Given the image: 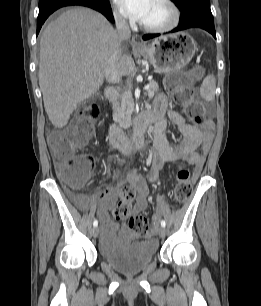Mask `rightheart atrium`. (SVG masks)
Segmentation results:
<instances>
[{
  "label": "right heart atrium",
  "mask_w": 261,
  "mask_h": 306,
  "mask_svg": "<svg viewBox=\"0 0 261 306\" xmlns=\"http://www.w3.org/2000/svg\"><path fill=\"white\" fill-rule=\"evenodd\" d=\"M115 18L120 25H125L126 24V21H125L124 17L120 13L115 12Z\"/></svg>",
  "instance_id": "1"
}]
</instances>
